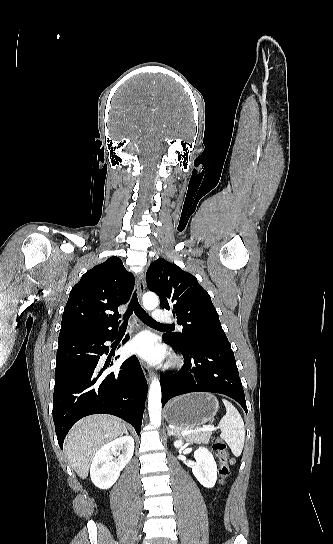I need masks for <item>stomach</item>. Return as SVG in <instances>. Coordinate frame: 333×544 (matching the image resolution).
<instances>
[{
    "mask_svg": "<svg viewBox=\"0 0 333 544\" xmlns=\"http://www.w3.org/2000/svg\"><path fill=\"white\" fill-rule=\"evenodd\" d=\"M218 407V399L213 394H186L167 405L166 419L175 426L192 428L210 421L216 415Z\"/></svg>",
    "mask_w": 333,
    "mask_h": 544,
    "instance_id": "stomach-1",
    "label": "stomach"
}]
</instances>
